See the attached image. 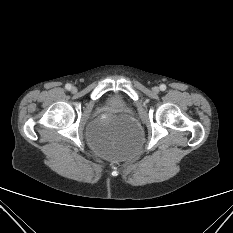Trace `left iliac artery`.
Masks as SVG:
<instances>
[{
	"mask_svg": "<svg viewBox=\"0 0 233 233\" xmlns=\"http://www.w3.org/2000/svg\"><path fill=\"white\" fill-rule=\"evenodd\" d=\"M160 90L161 91H165L166 90V85L165 84H161L160 85Z\"/></svg>",
	"mask_w": 233,
	"mask_h": 233,
	"instance_id": "44dca946",
	"label": "left iliac artery"
}]
</instances>
